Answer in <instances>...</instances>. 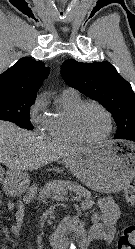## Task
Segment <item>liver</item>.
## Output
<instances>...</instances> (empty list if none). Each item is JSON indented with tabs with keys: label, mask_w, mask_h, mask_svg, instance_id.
Returning <instances> with one entry per match:
<instances>
[{
	"label": "liver",
	"mask_w": 135,
	"mask_h": 249,
	"mask_svg": "<svg viewBox=\"0 0 135 249\" xmlns=\"http://www.w3.org/2000/svg\"><path fill=\"white\" fill-rule=\"evenodd\" d=\"M83 150L51 142L11 122L0 121V163L10 171L36 170Z\"/></svg>",
	"instance_id": "1"
}]
</instances>
